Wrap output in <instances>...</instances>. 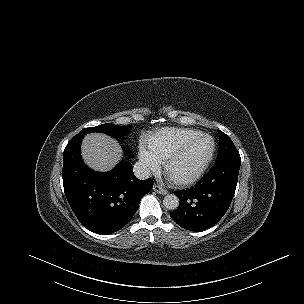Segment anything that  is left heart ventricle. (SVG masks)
Here are the masks:
<instances>
[{
    "mask_svg": "<svg viewBox=\"0 0 304 304\" xmlns=\"http://www.w3.org/2000/svg\"><path fill=\"white\" fill-rule=\"evenodd\" d=\"M212 141L203 138L191 146L186 153L179 157L171 168L173 177H183L194 173L208 157Z\"/></svg>",
    "mask_w": 304,
    "mask_h": 304,
    "instance_id": "left-heart-ventricle-1",
    "label": "left heart ventricle"
}]
</instances>
